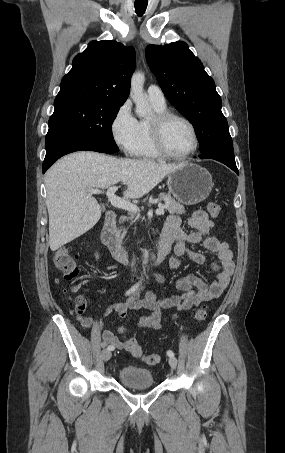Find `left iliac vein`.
I'll return each instance as SVG.
<instances>
[{
    "label": "left iliac vein",
    "mask_w": 285,
    "mask_h": 453,
    "mask_svg": "<svg viewBox=\"0 0 285 453\" xmlns=\"http://www.w3.org/2000/svg\"><path fill=\"white\" fill-rule=\"evenodd\" d=\"M169 364L172 369H176L177 367V359L175 357H170L169 358Z\"/></svg>",
    "instance_id": "obj_1"
}]
</instances>
